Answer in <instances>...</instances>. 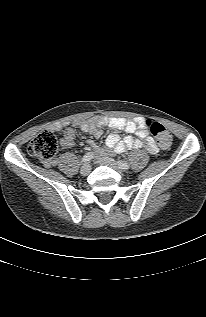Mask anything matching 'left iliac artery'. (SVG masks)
<instances>
[{
    "label": "left iliac artery",
    "mask_w": 206,
    "mask_h": 317,
    "mask_svg": "<svg viewBox=\"0 0 206 317\" xmlns=\"http://www.w3.org/2000/svg\"><path fill=\"white\" fill-rule=\"evenodd\" d=\"M118 165L120 166L121 169H128L129 168V164L127 162H124V161H118Z\"/></svg>",
    "instance_id": "44dca946"
}]
</instances>
